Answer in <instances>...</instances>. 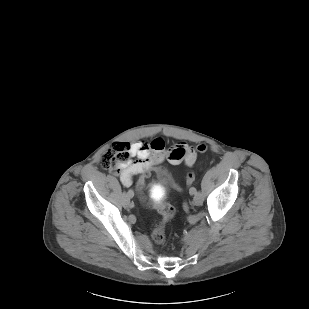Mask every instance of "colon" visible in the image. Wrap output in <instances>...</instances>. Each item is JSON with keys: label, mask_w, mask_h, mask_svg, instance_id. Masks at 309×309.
I'll list each match as a JSON object with an SVG mask.
<instances>
[{"label": "colon", "mask_w": 309, "mask_h": 309, "mask_svg": "<svg viewBox=\"0 0 309 309\" xmlns=\"http://www.w3.org/2000/svg\"><path fill=\"white\" fill-rule=\"evenodd\" d=\"M196 149L201 154L205 153L207 151V145L201 143L197 146ZM171 150L172 148L170 149V151ZM130 155H131V145L129 143L126 142L114 143L102 155L101 166L105 170L116 171L122 168L128 162ZM148 175L149 173L142 174L137 183V190L143 202H146V197L143 192L144 180ZM158 175L163 181L170 183L172 186L176 188H180L179 185L171 179L166 169L159 168ZM194 181H195V173L193 171L188 172L186 175V186L190 187L191 185H193ZM158 206L161 211L162 219L153 228L151 237L156 244H163L166 239L165 228L167 223L174 216V209L171 206L163 203H158Z\"/></svg>", "instance_id": "5ec220e1"}]
</instances>
